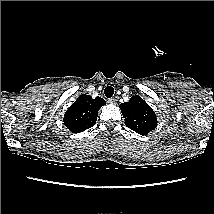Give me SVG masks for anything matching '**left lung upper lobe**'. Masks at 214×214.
Segmentation results:
<instances>
[{
  "instance_id": "obj_1",
  "label": "left lung upper lobe",
  "mask_w": 214,
  "mask_h": 214,
  "mask_svg": "<svg viewBox=\"0 0 214 214\" xmlns=\"http://www.w3.org/2000/svg\"><path fill=\"white\" fill-rule=\"evenodd\" d=\"M125 125L138 134L146 135L156 128L157 118L153 109L140 97L133 96L120 106Z\"/></svg>"
}]
</instances>
